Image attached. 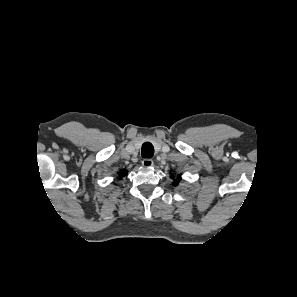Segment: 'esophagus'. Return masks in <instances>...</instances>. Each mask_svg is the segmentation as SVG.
<instances>
[{
  "instance_id": "esophagus-1",
  "label": "esophagus",
  "mask_w": 297,
  "mask_h": 297,
  "mask_svg": "<svg viewBox=\"0 0 297 297\" xmlns=\"http://www.w3.org/2000/svg\"><path fill=\"white\" fill-rule=\"evenodd\" d=\"M154 162L152 159H144L142 161V165L145 166V167H150V166H153Z\"/></svg>"
}]
</instances>
